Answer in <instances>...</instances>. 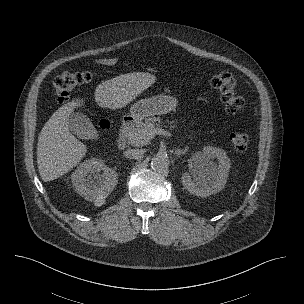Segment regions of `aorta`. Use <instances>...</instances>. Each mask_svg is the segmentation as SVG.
Returning a JSON list of instances; mask_svg holds the SVG:
<instances>
[{"instance_id":"1","label":"aorta","mask_w":304,"mask_h":304,"mask_svg":"<svg viewBox=\"0 0 304 304\" xmlns=\"http://www.w3.org/2000/svg\"><path fill=\"white\" fill-rule=\"evenodd\" d=\"M169 166V158L164 153H157L151 160V168L157 172H163Z\"/></svg>"}]
</instances>
